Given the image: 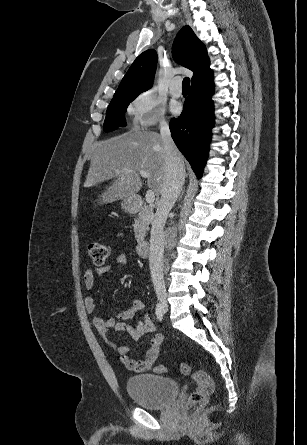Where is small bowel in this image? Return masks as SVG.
Wrapping results in <instances>:
<instances>
[{
  "label": "small bowel",
  "instance_id": "c3829d8e",
  "mask_svg": "<svg viewBox=\"0 0 307 445\" xmlns=\"http://www.w3.org/2000/svg\"><path fill=\"white\" fill-rule=\"evenodd\" d=\"M129 262L128 256L124 253L116 256L114 261L100 268H88L84 273V284L88 290L93 289L97 276L109 273L114 266H125ZM85 307L89 314H95L97 307L92 297L85 299ZM144 303L139 300H133L132 304L116 316L103 318L95 315L93 325L98 333L105 339L107 344L115 349L120 355L123 364L131 371L136 373L149 370L158 358L163 336L155 334V324L147 314H143ZM134 321V323H131ZM111 330L126 331L133 339L138 340L145 334H152L149 341V347L144 359L129 358L130 349L127 346H119L115 341L108 337Z\"/></svg>",
  "mask_w": 307,
  "mask_h": 445
}]
</instances>
